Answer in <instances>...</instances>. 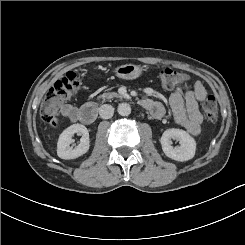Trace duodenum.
Listing matches in <instances>:
<instances>
[{
    "instance_id": "410a0bca",
    "label": "duodenum",
    "mask_w": 245,
    "mask_h": 245,
    "mask_svg": "<svg viewBox=\"0 0 245 245\" xmlns=\"http://www.w3.org/2000/svg\"><path fill=\"white\" fill-rule=\"evenodd\" d=\"M97 118V107L94 104H85L79 110V120L84 124H92Z\"/></svg>"
}]
</instances>
